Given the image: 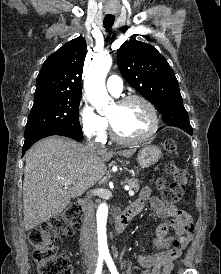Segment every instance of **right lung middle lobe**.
I'll return each mask as SVG.
<instances>
[{
	"label": "right lung middle lobe",
	"mask_w": 221,
	"mask_h": 274,
	"mask_svg": "<svg viewBox=\"0 0 221 274\" xmlns=\"http://www.w3.org/2000/svg\"><path fill=\"white\" fill-rule=\"evenodd\" d=\"M80 96L35 99L26 124L25 137L47 129H65L82 134L79 123Z\"/></svg>",
	"instance_id": "obj_1"
}]
</instances>
